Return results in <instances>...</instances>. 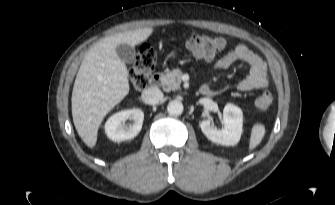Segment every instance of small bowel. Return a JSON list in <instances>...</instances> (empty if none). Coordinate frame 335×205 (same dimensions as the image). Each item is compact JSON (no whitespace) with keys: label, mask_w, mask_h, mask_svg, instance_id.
<instances>
[{"label":"small bowel","mask_w":335,"mask_h":205,"mask_svg":"<svg viewBox=\"0 0 335 205\" xmlns=\"http://www.w3.org/2000/svg\"><path fill=\"white\" fill-rule=\"evenodd\" d=\"M239 60L246 62L250 66L249 74L237 85L239 91L246 92L268 86L269 81L265 63L246 45L240 44L234 49H230L225 55L216 60L213 65L216 69H227Z\"/></svg>","instance_id":"small-bowel-1"}]
</instances>
